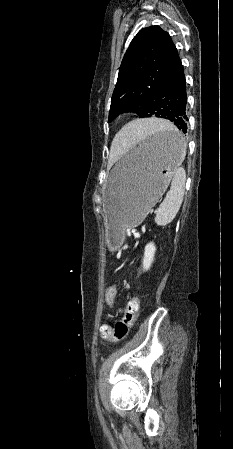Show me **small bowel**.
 <instances>
[{"label":"small bowel","mask_w":233,"mask_h":449,"mask_svg":"<svg viewBox=\"0 0 233 449\" xmlns=\"http://www.w3.org/2000/svg\"><path fill=\"white\" fill-rule=\"evenodd\" d=\"M107 325H103L102 327H101V331L106 327Z\"/></svg>","instance_id":"c3829d8e"}]
</instances>
